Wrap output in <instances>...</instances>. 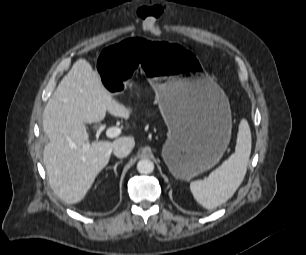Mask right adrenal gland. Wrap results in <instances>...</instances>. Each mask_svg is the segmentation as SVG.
I'll return each instance as SVG.
<instances>
[{"mask_svg":"<svg viewBox=\"0 0 306 255\" xmlns=\"http://www.w3.org/2000/svg\"><path fill=\"white\" fill-rule=\"evenodd\" d=\"M122 163V161H118V162H116L115 163V165L113 166V167H108V169H113V171H114V174L116 175L117 174V171H116V169H117V166L119 165V164H121Z\"/></svg>","mask_w":306,"mask_h":255,"instance_id":"obj_1","label":"right adrenal gland"}]
</instances>
